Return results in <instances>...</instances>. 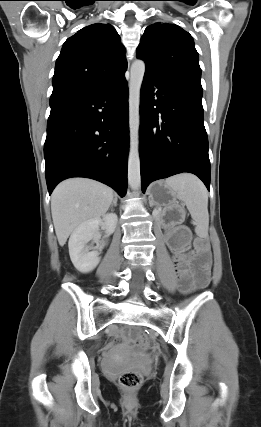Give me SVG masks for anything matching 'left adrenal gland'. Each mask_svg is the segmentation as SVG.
Listing matches in <instances>:
<instances>
[{"label":"left adrenal gland","instance_id":"left-adrenal-gland-1","mask_svg":"<svg viewBox=\"0 0 261 427\" xmlns=\"http://www.w3.org/2000/svg\"><path fill=\"white\" fill-rule=\"evenodd\" d=\"M149 204H150V207H152V204L149 202Z\"/></svg>","mask_w":261,"mask_h":427}]
</instances>
